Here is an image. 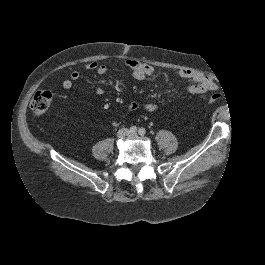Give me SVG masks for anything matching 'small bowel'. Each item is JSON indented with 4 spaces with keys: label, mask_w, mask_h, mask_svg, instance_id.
<instances>
[{
    "label": "small bowel",
    "mask_w": 265,
    "mask_h": 265,
    "mask_svg": "<svg viewBox=\"0 0 265 265\" xmlns=\"http://www.w3.org/2000/svg\"><path fill=\"white\" fill-rule=\"evenodd\" d=\"M125 65L132 71L135 79L139 81H144L154 77L155 69L147 64L137 60H127ZM84 71H94L99 75H104L107 71V66L100 62H89L83 66ZM177 76L183 79H189L194 82L193 85L189 86L186 90L188 94H204L208 91L216 89V84L208 76L192 71V70H180L177 72ZM80 71L72 70L68 79L62 82L64 89L69 90L72 88L74 81L79 79ZM96 93L98 95H103V89L101 87L96 88ZM140 104L137 101H132L129 104L131 110L139 108ZM144 108L148 112H155L158 109L156 104L148 103L144 105Z\"/></svg>",
    "instance_id": "obj_1"
}]
</instances>
